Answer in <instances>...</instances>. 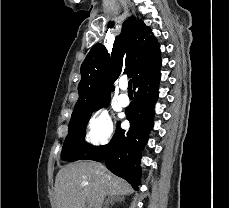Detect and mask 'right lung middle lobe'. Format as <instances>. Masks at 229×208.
<instances>
[{
    "instance_id": "right-lung-middle-lobe-1",
    "label": "right lung middle lobe",
    "mask_w": 229,
    "mask_h": 208,
    "mask_svg": "<svg viewBox=\"0 0 229 208\" xmlns=\"http://www.w3.org/2000/svg\"><path fill=\"white\" fill-rule=\"evenodd\" d=\"M109 101L103 102L95 107L88 115L71 119L68 127V135L64 141L62 148V159L67 161L80 160L94 146L85 142V130L87 123L93 111L107 107Z\"/></svg>"
}]
</instances>
